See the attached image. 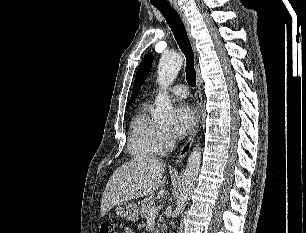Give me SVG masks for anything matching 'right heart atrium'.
<instances>
[{
    "mask_svg": "<svg viewBox=\"0 0 306 233\" xmlns=\"http://www.w3.org/2000/svg\"><path fill=\"white\" fill-rule=\"evenodd\" d=\"M174 140L170 133L160 132L159 134V151L161 154L166 153L173 147Z\"/></svg>",
    "mask_w": 306,
    "mask_h": 233,
    "instance_id": "1",
    "label": "right heart atrium"
}]
</instances>
